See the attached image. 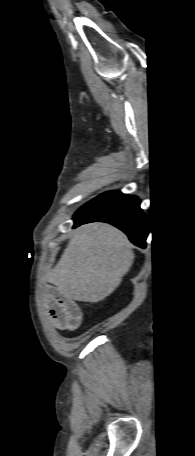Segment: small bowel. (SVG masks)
<instances>
[{"label": "small bowel", "mask_w": 195, "mask_h": 456, "mask_svg": "<svg viewBox=\"0 0 195 456\" xmlns=\"http://www.w3.org/2000/svg\"><path fill=\"white\" fill-rule=\"evenodd\" d=\"M48 290L50 295L46 307L51 323L63 330L76 329L82 319L79 306L57 289L49 287Z\"/></svg>", "instance_id": "c3829d8e"}]
</instances>
